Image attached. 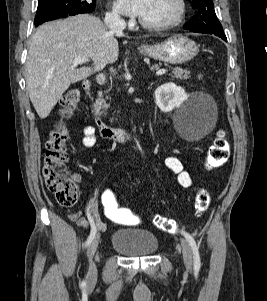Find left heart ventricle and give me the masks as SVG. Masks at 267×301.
<instances>
[{
  "mask_svg": "<svg viewBox=\"0 0 267 301\" xmlns=\"http://www.w3.org/2000/svg\"><path fill=\"white\" fill-rule=\"evenodd\" d=\"M176 12V0H147L140 18L151 23H161L171 20Z\"/></svg>",
  "mask_w": 267,
  "mask_h": 301,
  "instance_id": "obj_1",
  "label": "left heart ventricle"
}]
</instances>
